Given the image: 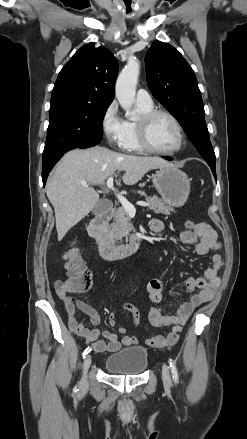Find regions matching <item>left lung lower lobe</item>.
<instances>
[{
    "mask_svg": "<svg viewBox=\"0 0 247 439\" xmlns=\"http://www.w3.org/2000/svg\"><path fill=\"white\" fill-rule=\"evenodd\" d=\"M165 159H167V160H172L171 157H165ZM211 170H212V173L214 174L215 179H216V171H215V167H211Z\"/></svg>",
    "mask_w": 247,
    "mask_h": 439,
    "instance_id": "left-lung-lower-lobe-1",
    "label": "left lung lower lobe"
}]
</instances>
